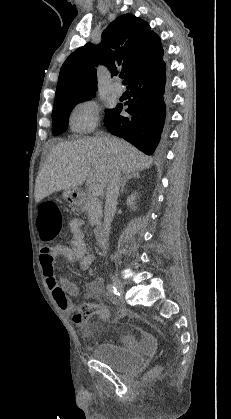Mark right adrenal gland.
Here are the masks:
<instances>
[{"mask_svg": "<svg viewBox=\"0 0 231 419\" xmlns=\"http://www.w3.org/2000/svg\"><path fill=\"white\" fill-rule=\"evenodd\" d=\"M132 178H140V174L138 172H133L131 174L125 175L121 182L120 193H123L126 183Z\"/></svg>", "mask_w": 231, "mask_h": 419, "instance_id": "obj_1", "label": "right adrenal gland"}]
</instances>
